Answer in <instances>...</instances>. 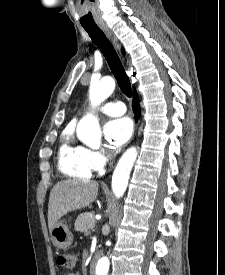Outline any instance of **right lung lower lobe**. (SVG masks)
<instances>
[{
  "label": "right lung lower lobe",
  "mask_w": 225,
  "mask_h": 275,
  "mask_svg": "<svg viewBox=\"0 0 225 275\" xmlns=\"http://www.w3.org/2000/svg\"><path fill=\"white\" fill-rule=\"evenodd\" d=\"M133 111H134V114L136 115V118H139L140 106H139V99L135 90H134V97H133Z\"/></svg>",
  "instance_id": "98d812e1"
}]
</instances>
